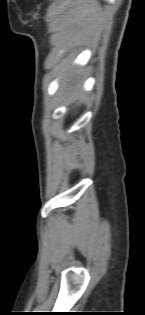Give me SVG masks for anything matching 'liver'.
Here are the masks:
<instances>
[{"label": "liver", "mask_w": 145, "mask_h": 315, "mask_svg": "<svg viewBox=\"0 0 145 315\" xmlns=\"http://www.w3.org/2000/svg\"><path fill=\"white\" fill-rule=\"evenodd\" d=\"M75 74L76 72L74 70H69L64 78V84H66L71 91L69 101L72 104L76 103L80 98V91L78 88H75V85L77 83V78Z\"/></svg>", "instance_id": "1"}]
</instances>
